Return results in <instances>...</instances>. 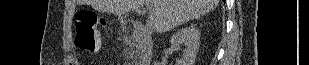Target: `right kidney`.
<instances>
[{
  "mask_svg": "<svg viewBox=\"0 0 309 65\" xmlns=\"http://www.w3.org/2000/svg\"><path fill=\"white\" fill-rule=\"evenodd\" d=\"M199 40L200 32L193 26L178 29L177 32L172 35L170 42L173 47L179 48L182 43L185 45L183 55L181 59L177 60L176 65H194L199 50Z\"/></svg>",
  "mask_w": 309,
  "mask_h": 65,
  "instance_id": "ca27d5eb",
  "label": "right kidney"
}]
</instances>
